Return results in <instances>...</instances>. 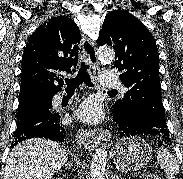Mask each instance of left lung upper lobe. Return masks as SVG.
Masks as SVG:
<instances>
[{
	"label": "left lung upper lobe",
	"instance_id": "left-lung-upper-lobe-1",
	"mask_svg": "<svg viewBox=\"0 0 183 179\" xmlns=\"http://www.w3.org/2000/svg\"><path fill=\"white\" fill-rule=\"evenodd\" d=\"M115 49V64L128 91L117 100L113 111L136 116L158 128L166 120L161 100L159 56L151 32L125 10L109 12L97 40Z\"/></svg>",
	"mask_w": 183,
	"mask_h": 179
}]
</instances>
